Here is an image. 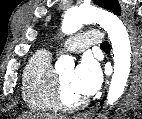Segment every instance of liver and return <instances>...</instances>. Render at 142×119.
<instances>
[{
	"label": "liver",
	"mask_w": 142,
	"mask_h": 119,
	"mask_svg": "<svg viewBox=\"0 0 142 119\" xmlns=\"http://www.w3.org/2000/svg\"><path fill=\"white\" fill-rule=\"evenodd\" d=\"M23 118L25 119H68L66 116H56V115H50V114H29L24 115Z\"/></svg>",
	"instance_id": "1"
}]
</instances>
